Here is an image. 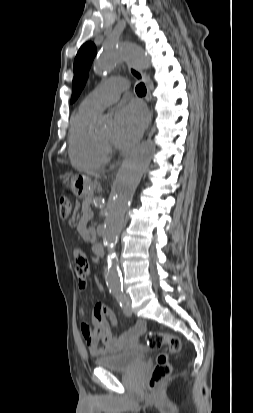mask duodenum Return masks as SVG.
I'll return each instance as SVG.
<instances>
[{
  "instance_id": "duodenum-1",
  "label": "duodenum",
  "mask_w": 253,
  "mask_h": 413,
  "mask_svg": "<svg viewBox=\"0 0 253 413\" xmlns=\"http://www.w3.org/2000/svg\"><path fill=\"white\" fill-rule=\"evenodd\" d=\"M92 251L97 257H103L105 254L103 245L96 243L92 246Z\"/></svg>"
}]
</instances>
